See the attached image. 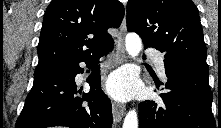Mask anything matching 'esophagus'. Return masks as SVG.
<instances>
[{
	"instance_id": "obj_1",
	"label": "esophagus",
	"mask_w": 221,
	"mask_h": 128,
	"mask_svg": "<svg viewBox=\"0 0 221 128\" xmlns=\"http://www.w3.org/2000/svg\"><path fill=\"white\" fill-rule=\"evenodd\" d=\"M126 33V17H124L116 41V52L120 62H124L127 59L124 46ZM125 110V105H123L122 103L116 101L112 102V113L115 122L121 121L123 115L125 114Z\"/></svg>"
}]
</instances>
